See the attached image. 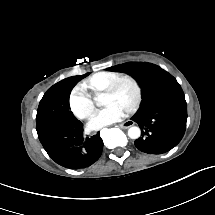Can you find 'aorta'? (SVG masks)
Returning <instances> with one entry per match:
<instances>
[{"mask_svg":"<svg viewBox=\"0 0 215 215\" xmlns=\"http://www.w3.org/2000/svg\"><path fill=\"white\" fill-rule=\"evenodd\" d=\"M102 102L100 100H98L97 102V105H101ZM140 134H141V131L138 127L136 126H133V127H130L128 129V136L131 138V139H137L140 137Z\"/></svg>","mask_w":215,"mask_h":215,"instance_id":"aorta-1","label":"aorta"}]
</instances>
